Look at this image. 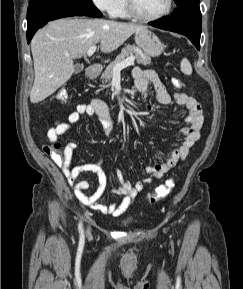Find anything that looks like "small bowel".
<instances>
[{
    "instance_id": "c3829d8e",
    "label": "small bowel",
    "mask_w": 243,
    "mask_h": 289,
    "mask_svg": "<svg viewBox=\"0 0 243 289\" xmlns=\"http://www.w3.org/2000/svg\"><path fill=\"white\" fill-rule=\"evenodd\" d=\"M133 79L135 88L145 97L150 88L153 87L156 92V100L160 105H169L174 101L177 105L186 108L187 113L184 121L187 126L182 129L183 139L178 148H176L170 158L165 162L149 165L145 171L148 177L142 179L132 185L125 180L122 172L116 170V177L120 186L110 192H106L107 178L98 162L80 164L71 167L73 151L77 147V143L69 141L64 148V164L62 171L67 179L68 184L74 189L76 199L83 205L89 206L103 214L119 216L124 213L133 203L136 196L145 186L151 184L155 180L174 169L181 161L185 160L190 149L200 138V129L203 124L201 105L197 100L186 93L176 92L171 95L163 82L160 80L154 70L135 68L133 70ZM150 113L161 115L162 113L151 106H147ZM96 116L102 125L103 131L107 136H111L114 132V121L109 113L108 107L101 99H93L89 104H79L76 109L71 112L66 121L57 120L48 130L47 136L51 144L59 143L60 137L66 133L70 126L77 123L83 116ZM178 118V115H173ZM82 172H92L96 174L98 179V187L91 194L87 195L89 182L79 179ZM120 196L119 202H112L108 205L101 204L100 201L110 196Z\"/></svg>"
}]
</instances>
